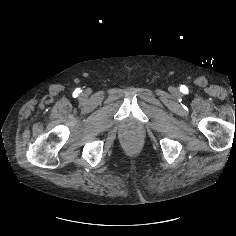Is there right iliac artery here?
<instances>
[{"mask_svg": "<svg viewBox=\"0 0 236 236\" xmlns=\"http://www.w3.org/2000/svg\"><path fill=\"white\" fill-rule=\"evenodd\" d=\"M82 91H81V89L80 88H77L76 90H75V92H74V95L75 96H78V94H80Z\"/></svg>", "mask_w": 236, "mask_h": 236, "instance_id": "obj_1", "label": "right iliac artery"}]
</instances>
